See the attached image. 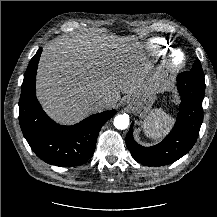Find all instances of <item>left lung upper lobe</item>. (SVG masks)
<instances>
[{
  "label": "left lung upper lobe",
  "mask_w": 217,
  "mask_h": 217,
  "mask_svg": "<svg viewBox=\"0 0 217 217\" xmlns=\"http://www.w3.org/2000/svg\"><path fill=\"white\" fill-rule=\"evenodd\" d=\"M195 79H197L199 82L204 83L205 84V80H204V73L201 67V63L198 59H196V61L193 64V67L191 69V71L189 72Z\"/></svg>",
  "instance_id": "left-lung-upper-lobe-1"
}]
</instances>
